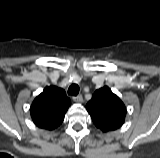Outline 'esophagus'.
Instances as JSON below:
<instances>
[{"mask_svg": "<svg viewBox=\"0 0 160 158\" xmlns=\"http://www.w3.org/2000/svg\"><path fill=\"white\" fill-rule=\"evenodd\" d=\"M73 100L75 102L81 103L83 101V97H82V95L74 96Z\"/></svg>", "mask_w": 160, "mask_h": 158, "instance_id": "esophagus-1", "label": "esophagus"}]
</instances>
